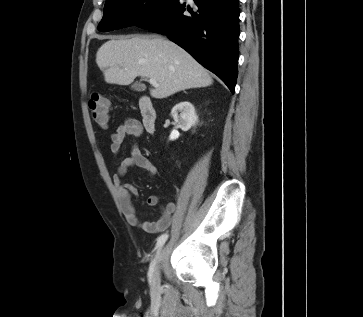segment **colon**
<instances>
[{
  "mask_svg": "<svg viewBox=\"0 0 363 317\" xmlns=\"http://www.w3.org/2000/svg\"><path fill=\"white\" fill-rule=\"evenodd\" d=\"M109 105V99L99 94H94L88 101L93 120L102 127L106 126L109 119Z\"/></svg>",
  "mask_w": 363,
  "mask_h": 317,
  "instance_id": "colon-1",
  "label": "colon"
}]
</instances>
